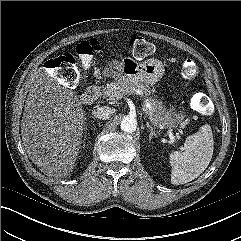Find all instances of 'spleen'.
<instances>
[{
  "instance_id": "1",
  "label": "spleen",
  "mask_w": 241,
  "mask_h": 241,
  "mask_svg": "<svg viewBox=\"0 0 241 241\" xmlns=\"http://www.w3.org/2000/svg\"><path fill=\"white\" fill-rule=\"evenodd\" d=\"M213 145L209 125H203L197 133L188 136L184 143V151L170 154L171 183L185 184L202 174L211 161Z\"/></svg>"
}]
</instances>
